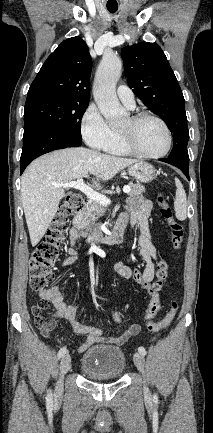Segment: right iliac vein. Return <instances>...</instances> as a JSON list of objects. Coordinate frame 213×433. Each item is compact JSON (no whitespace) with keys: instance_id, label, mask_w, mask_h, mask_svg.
<instances>
[{"instance_id":"63e3f726","label":"right iliac vein","mask_w":213,"mask_h":433,"mask_svg":"<svg viewBox=\"0 0 213 433\" xmlns=\"http://www.w3.org/2000/svg\"><path fill=\"white\" fill-rule=\"evenodd\" d=\"M71 368V357L69 354H65L60 362L59 371L60 376L55 387V398L58 399L63 393V377Z\"/></svg>"}]
</instances>
